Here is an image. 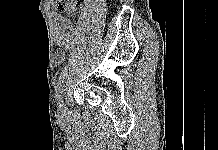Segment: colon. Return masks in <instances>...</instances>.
<instances>
[{
  "label": "colon",
  "instance_id": "colon-1",
  "mask_svg": "<svg viewBox=\"0 0 218 150\" xmlns=\"http://www.w3.org/2000/svg\"><path fill=\"white\" fill-rule=\"evenodd\" d=\"M83 4V0H54V9L66 16H72Z\"/></svg>",
  "mask_w": 218,
  "mask_h": 150
}]
</instances>
